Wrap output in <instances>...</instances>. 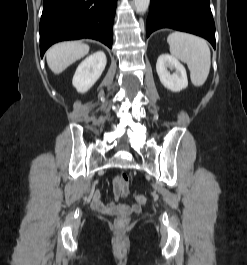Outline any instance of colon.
Wrapping results in <instances>:
<instances>
[{
  "label": "colon",
  "instance_id": "obj_1",
  "mask_svg": "<svg viewBox=\"0 0 247 265\" xmlns=\"http://www.w3.org/2000/svg\"><path fill=\"white\" fill-rule=\"evenodd\" d=\"M115 182L118 184L122 192H128L129 177L126 173H119L116 177ZM135 199L140 205L146 204L147 201L146 198L142 195H136ZM128 223L129 219L126 216L118 217L115 220L114 226L117 230H123L127 227Z\"/></svg>",
  "mask_w": 247,
  "mask_h": 265
}]
</instances>
